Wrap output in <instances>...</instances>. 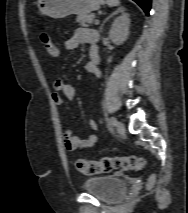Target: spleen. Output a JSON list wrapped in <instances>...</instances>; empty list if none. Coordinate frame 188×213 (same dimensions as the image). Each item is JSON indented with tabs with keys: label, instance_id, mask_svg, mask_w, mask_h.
I'll return each mask as SVG.
<instances>
[{
	"label": "spleen",
	"instance_id": "3e777b00",
	"mask_svg": "<svg viewBox=\"0 0 188 213\" xmlns=\"http://www.w3.org/2000/svg\"><path fill=\"white\" fill-rule=\"evenodd\" d=\"M106 3L110 7H115L120 4V1L119 0H106Z\"/></svg>",
	"mask_w": 188,
	"mask_h": 213
}]
</instances>
